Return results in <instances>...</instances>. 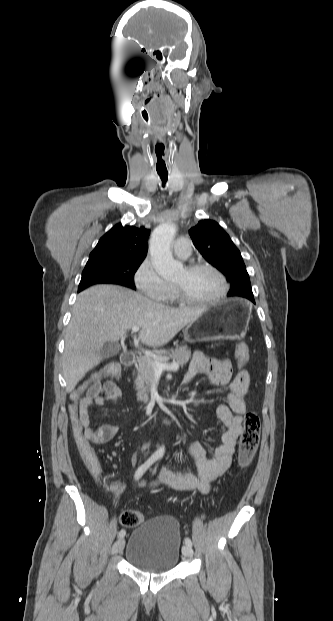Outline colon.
Listing matches in <instances>:
<instances>
[{
    "instance_id": "colon-1",
    "label": "colon",
    "mask_w": 333,
    "mask_h": 621,
    "mask_svg": "<svg viewBox=\"0 0 333 621\" xmlns=\"http://www.w3.org/2000/svg\"><path fill=\"white\" fill-rule=\"evenodd\" d=\"M249 358L248 346L240 343L236 349V359L240 370L246 365ZM121 370L118 364L109 363L99 373H97L91 381H100L105 377H119ZM71 429L74 437L77 452L87 468L88 472L94 479L102 482L101 465L90 447L87 438L84 435L83 426L80 422L77 407L72 404L69 408ZM261 425L258 415L254 412H248L245 415L244 427L239 440V465L245 468L251 464L258 449L260 441ZM145 520V516L138 510H125L121 513L119 521L124 527H135Z\"/></svg>"
}]
</instances>
